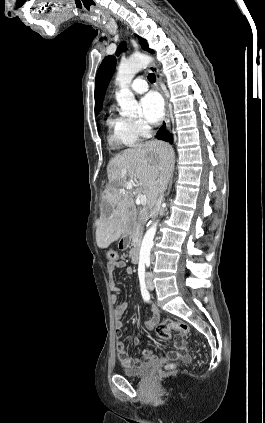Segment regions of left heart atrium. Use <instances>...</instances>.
<instances>
[{"label": "left heart atrium", "mask_w": 265, "mask_h": 423, "mask_svg": "<svg viewBox=\"0 0 265 423\" xmlns=\"http://www.w3.org/2000/svg\"><path fill=\"white\" fill-rule=\"evenodd\" d=\"M140 106L142 117L146 122L157 124L163 118L164 103L157 93L150 92L143 96L140 100Z\"/></svg>", "instance_id": "left-heart-atrium-1"}]
</instances>
